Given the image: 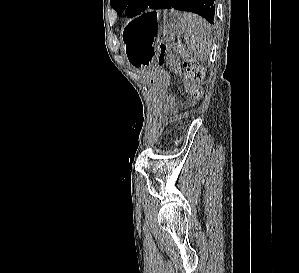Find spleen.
<instances>
[{
  "label": "spleen",
  "instance_id": "obj_1",
  "mask_svg": "<svg viewBox=\"0 0 299 273\" xmlns=\"http://www.w3.org/2000/svg\"><path fill=\"white\" fill-rule=\"evenodd\" d=\"M180 20L190 54L198 61H206L211 50V26L202 17L183 12Z\"/></svg>",
  "mask_w": 299,
  "mask_h": 273
}]
</instances>
